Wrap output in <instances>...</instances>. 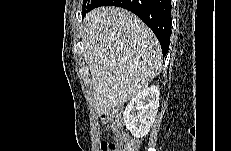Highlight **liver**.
<instances>
[{"label":"liver","instance_id":"6515ba94","mask_svg":"<svg viewBox=\"0 0 231 151\" xmlns=\"http://www.w3.org/2000/svg\"><path fill=\"white\" fill-rule=\"evenodd\" d=\"M81 36L98 115L136 97L161 71L156 36L127 10L113 6L91 10L84 18Z\"/></svg>","mask_w":231,"mask_h":151}]
</instances>
